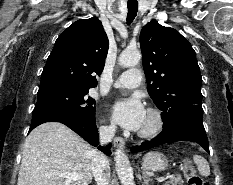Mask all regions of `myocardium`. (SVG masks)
<instances>
[{
	"mask_svg": "<svg viewBox=\"0 0 233 185\" xmlns=\"http://www.w3.org/2000/svg\"><path fill=\"white\" fill-rule=\"evenodd\" d=\"M146 112L152 117L153 124L146 130H139L138 136L141 138H153L163 130L164 117L162 112L154 107H149Z\"/></svg>",
	"mask_w": 233,
	"mask_h": 185,
	"instance_id": "1",
	"label": "myocardium"
}]
</instances>
